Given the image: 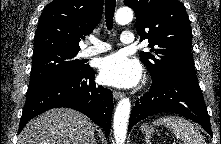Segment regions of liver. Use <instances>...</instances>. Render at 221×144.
I'll use <instances>...</instances> for the list:
<instances>
[{"label": "liver", "mask_w": 221, "mask_h": 144, "mask_svg": "<svg viewBox=\"0 0 221 144\" xmlns=\"http://www.w3.org/2000/svg\"><path fill=\"white\" fill-rule=\"evenodd\" d=\"M94 125L84 114L68 108L51 109L29 121L19 144H92Z\"/></svg>", "instance_id": "liver-1"}]
</instances>
